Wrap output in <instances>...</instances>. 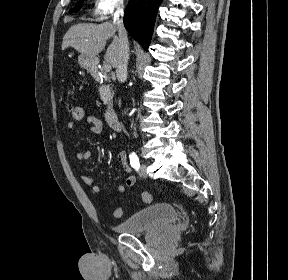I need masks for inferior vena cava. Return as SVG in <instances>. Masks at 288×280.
<instances>
[{
    "mask_svg": "<svg viewBox=\"0 0 288 280\" xmlns=\"http://www.w3.org/2000/svg\"><path fill=\"white\" fill-rule=\"evenodd\" d=\"M124 6L123 4L117 5L114 15L113 24L116 26L119 35V53L117 58L116 75L120 82L127 79V65L129 60V42L127 32L123 24Z\"/></svg>",
    "mask_w": 288,
    "mask_h": 280,
    "instance_id": "1",
    "label": "inferior vena cava"
}]
</instances>
